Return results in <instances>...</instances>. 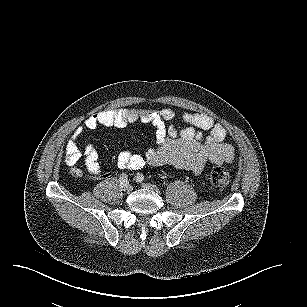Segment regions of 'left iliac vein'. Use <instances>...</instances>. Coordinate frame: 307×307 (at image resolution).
<instances>
[{
  "mask_svg": "<svg viewBox=\"0 0 307 307\" xmlns=\"http://www.w3.org/2000/svg\"><path fill=\"white\" fill-rule=\"evenodd\" d=\"M142 187L145 189H150V190L158 192V188L152 184H142Z\"/></svg>",
  "mask_w": 307,
  "mask_h": 307,
  "instance_id": "left-iliac-vein-1",
  "label": "left iliac vein"
}]
</instances>
